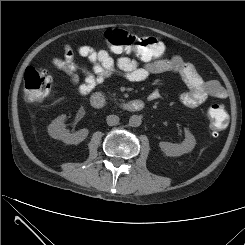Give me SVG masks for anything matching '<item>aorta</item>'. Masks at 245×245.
Returning a JSON list of instances; mask_svg holds the SVG:
<instances>
[{
    "mask_svg": "<svg viewBox=\"0 0 245 245\" xmlns=\"http://www.w3.org/2000/svg\"><path fill=\"white\" fill-rule=\"evenodd\" d=\"M141 123H142V119L138 115H132L129 119V125L131 127H138L141 125Z\"/></svg>",
    "mask_w": 245,
    "mask_h": 245,
    "instance_id": "obj_1",
    "label": "aorta"
}]
</instances>
